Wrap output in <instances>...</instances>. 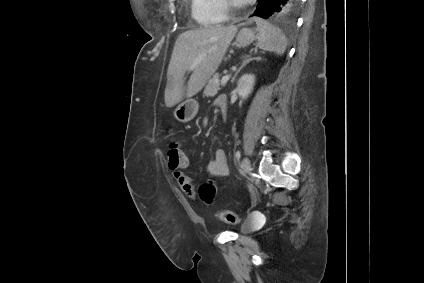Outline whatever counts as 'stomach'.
I'll use <instances>...</instances> for the list:
<instances>
[{
  "label": "stomach",
  "instance_id": "0dacf381",
  "mask_svg": "<svg viewBox=\"0 0 424 283\" xmlns=\"http://www.w3.org/2000/svg\"><path fill=\"white\" fill-rule=\"evenodd\" d=\"M255 37V32L252 29L243 28L236 37V45L239 48H244L250 45L255 40ZM198 108L197 101L188 98L175 109L174 116L178 121L186 123L196 116Z\"/></svg>",
  "mask_w": 424,
  "mask_h": 283
}]
</instances>
